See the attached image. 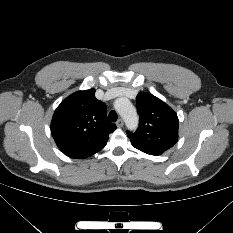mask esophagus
I'll return each mask as SVG.
<instances>
[{"label":"esophagus","instance_id":"esophagus-1","mask_svg":"<svg viewBox=\"0 0 233 233\" xmlns=\"http://www.w3.org/2000/svg\"><path fill=\"white\" fill-rule=\"evenodd\" d=\"M116 125H117L118 128L123 127V125H124L123 120L122 119H118V121L116 122Z\"/></svg>","mask_w":233,"mask_h":233}]
</instances>
